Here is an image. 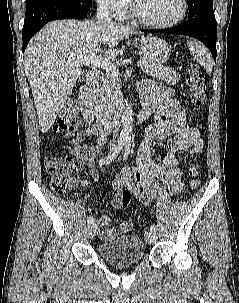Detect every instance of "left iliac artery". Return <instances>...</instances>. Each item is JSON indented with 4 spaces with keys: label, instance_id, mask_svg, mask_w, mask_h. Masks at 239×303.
<instances>
[{
    "label": "left iliac artery",
    "instance_id": "1",
    "mask_svg": "<svg viewBox=\"0 0 239 303\" xmlns=\"http://www.w3.org/2000/svg\"><path fill=\"white\" fill-rule=\"evenodd\" d=\"M129 153H130V143H127L124 152L125 159L128 157ZM150 229L156 231V225L154 223L151 224Z\"/></svg>",
    "mask_w": 239,
    "mask_h": 303
}]
</instances>
